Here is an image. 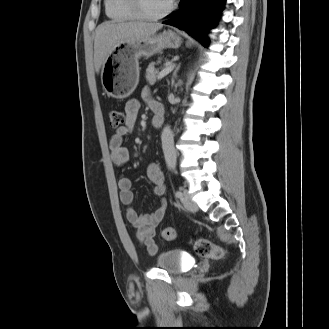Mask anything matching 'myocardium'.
<instances>
[{
	"label": "myocardium",
	"mask_w": 329,
	"mask_h": 329,
	"mask_svg": "<svg viewBox=\"0 0 329 329\" xmlns=\"http://www.w3.org/2000/svg\"><path fill=\"white\" fill-rule=\"evenodd\" d=\"M126 1L138 19L148 22H155L165 18L174 10V6H175L174 1L171 0L169 6L164 11L156 15H150L144 11L141 5V0H126Z\"/></svg>",
	"instance_id": "1"
}]
</instances>
